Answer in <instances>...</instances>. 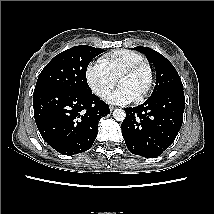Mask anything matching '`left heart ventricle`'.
Returning <instances> with one entry per match:
<instances>
[{"label":"left heart ventricle","instance_id":"left-heart-ventricle-1","mask_svg":"<svg viewBox=\"0 0 214 214\" xmlns=\"http://www.w3.org/2000/svg\"><path fill=\"white\" fill-rule=\"evenodd\" d=\"M148 80L145 70H141L133 75L123 76L119 79V86L125 87L137 98L144 90Z\"/></svg>","mask_w":214,"mask_h":214}]
</instances>
